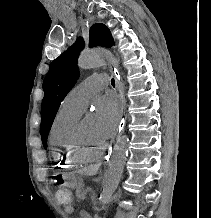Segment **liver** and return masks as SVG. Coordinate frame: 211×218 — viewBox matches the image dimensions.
<instances>
[{"label": "liver", "mask_w": 211, "mask_h": 218, "mask_svg": "<svg viewBox=\"0 0 211 218\" xmlns=\"http://www.w3.org/2000/svg\"><path fill=\"white\" fill-rule=\"evenodd\" d=\"M99 166H90V168H87L89 174H91V176H95L97 170H98Z\"/></svg>", "instance_id": "obj_1"}]
</instances>
